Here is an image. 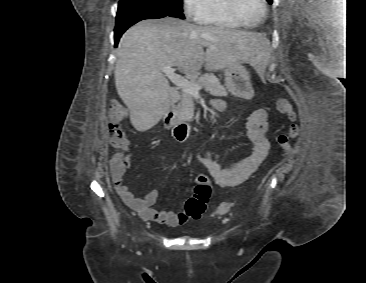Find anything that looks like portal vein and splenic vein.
<instances>
[{"mask_svg": "<svg viewBox=\"0 0 366 283\" xmlns=\"http://www.w3.org/2000/svg\"><path fill=\"white\" fill-rule=\"evenodd\" d=\"M162 71L165 73L167 78L183 92L189 93L191 95H199V91L202 89L201 85L175 73V70L169 65L164 66Z\"/></svg>", "mask_w": 366, "mask_h": 283, "instance_id": "portal-vein-and-splenic-vein-1", "label": "portal vein and splenic vein"}]
</instances>
